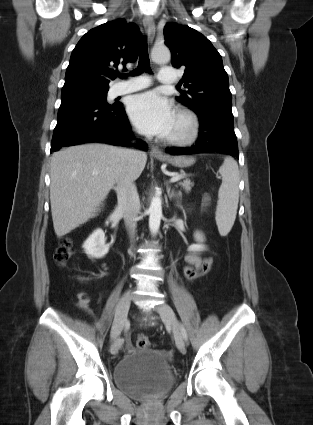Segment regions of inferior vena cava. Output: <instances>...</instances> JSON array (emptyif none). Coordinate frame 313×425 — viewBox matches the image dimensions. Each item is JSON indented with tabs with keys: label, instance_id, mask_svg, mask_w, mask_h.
<instances>
[{
	"label": "inferior vena cava",
	"instance_id": "inferior-vena-cava-1",
	"mask_svg": "<svg viewBox=\"0 0 313 425\" xmlns=\"http://www.w3.org/2000/svg\"><path fill=\"white\" fill-rule=\"evenodd\" d=\"M127 160H134L138 156V151L132 149L122 150ZM118 208L123 214L125 224L129 229L131 237L135 235L136 218L140 210V200L134 180L129 174L120 177L117 185Z\"/></svg>",
	"mask_w": 313,
	"mask_h": 425
}]
</instances>
